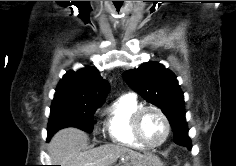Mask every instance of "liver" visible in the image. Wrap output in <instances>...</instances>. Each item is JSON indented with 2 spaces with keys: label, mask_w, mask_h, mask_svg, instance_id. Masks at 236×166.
<instances>
[{
  "label": "liver",
  "mask_w": 236,
  "mask_h": 166,
  "mask_svg": "<svg viewBox=\"0 0 236 166\" xmlns=\"http://www.w3.org/2000/svg\"><path fill=\"white\" fill-rule=\"evenodd\" d=\"M87 140L86 133L77 128L70 127L58 131L48 145L52 163L61 166H112L119 158H124L131 165L141 166L146 157L115 144L85 150Z\"/></svg>",
  "instance_id": "obj_1"
}]
</instances>
